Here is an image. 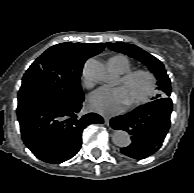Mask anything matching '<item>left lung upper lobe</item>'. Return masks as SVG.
I'll return each instance as SVG.
<instances>
[{
    "mask_svg": "<svg viewBox=\"0 0 194 193\" xmlns=\"http://www.w3.org/2000/svg\"><path fill=\"white\" fill-rule=\"evenodd\" d=\"M106 45L114 51L122 52L148 66L150 71L155 74L158 82L157 89L161 91L153 100L169 97L171 94V83L166 73L164 65L160 60L142 50L141 48L127 43H106Z\"/></svg>",
    "mask_w": 194,
    "mask_h": 193,
    "instance_id": "1",
    "label": "left lung upper lobe"
}]
</instances>
